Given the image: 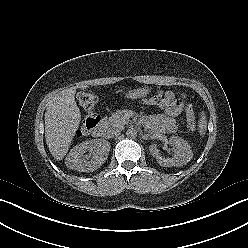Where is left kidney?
I'll return each instance as SVG.
<instances>
[{"label": "left kidney", "instance_id": "obj_1", "mask_svg": "<svg viewBox=\"0 0 248 248\" xmlns=\"http://www.w3.org/2000/svg\"><path fill=\"white\" fill-rule=\"evenodd\" d=\"M169 144L174 147V156L172 158L162 157L159 153V149L155 144L150 146V152L161 166L180 167L191 161L193 158V152L187 141L181 137L171 136L169 138Z\"/></svg>", "mask_w": 248, "mask_h": 248}]
</instances>
